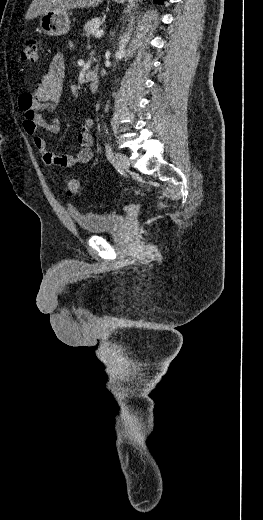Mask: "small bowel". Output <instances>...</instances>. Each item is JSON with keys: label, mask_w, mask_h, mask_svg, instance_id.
<instances>
[{"label": "small bowel", "mask_w": 263, "mask_h": 520, "mask_svg": "<svg viewBox=\"0 0 263 520\" xmlns=\"http://www.w3.org/2000/svg\"><path fill=\"white\" fill-rule=\"evenodd\" d=\"M64 76L65 58L63 54L58 53L52 58L49 69L41 81L30 92L20 95L18 104L24 116L23 129L27 135L32 137L33 144L43 162L47 165L71 168L77 164L88 163L93 158L91 133L94 126L93 120L86 119L82 123L78 134L81 149L74 155L58 156L54 154L49 151L45 139L38 134L39 129L50 133H57L59 130L57 119L47 121L44 112H54L56 109L62 95Z\"/></svg>", "instance_id": "c3829d8e"}]
</instances>
